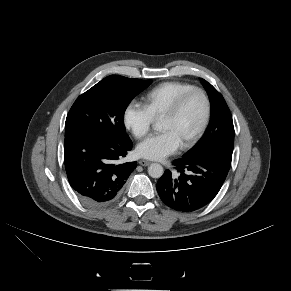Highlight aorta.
<instances>
[{"label": "aorta", "mask_w": 291, "mask_h": 291, "mask_svg": "<svg viewBox=\"0 0 291 291\" xmlns=\"http://www.w3.org/2000/svg\"><path fill=\"white\" fill-rule=\"evenodd\" d=\"M154 128L157 129V125H155ZM163 173H164L163 167L158 163H152L148 167V174L152 178H160L163 175Z\"/></svg>", "instance_id": "762f6f07"}]
</instances>
